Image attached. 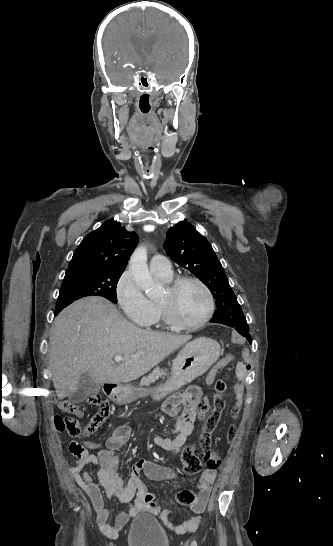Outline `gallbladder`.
<instances>
[{
  "instance_id": "bac80fb5",
  "label": "gallbladder",
  "mask_w": 333,
  "mask_h": 546,
  "mask_svg": "<svg viewBox=\"0 0 333 546\" xmlns=\"http://www.w3.org/2000/svg\"><path fill=\"white\" fill-rule=\"evenodd\" d=\"M99 390L100 385L93 382L88 373H84L79 378L78 392L75 394L74 399L82 401L86 396L96 394Z\"/></svg>"
}]
</instances>
